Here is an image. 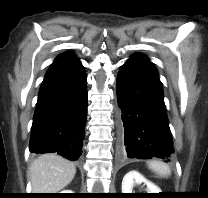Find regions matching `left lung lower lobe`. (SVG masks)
Instances as JSON below:
<instances>
[{"mask_svg": "<svg viewBox=\"0 0 208 198\" xmlns=\"http://www.w3.org/2000/svg\"><path fill=\"white\" fill-rule=\"evenodd\" d=\"M117 100L121 109L120 152L124 158L170 161L173 142L163 89L153 63L136 53L117 76Z\"/></svg>", "mask_w": 208, "mask_h": 198, "instance_id": "1", "label": "left lung lower lobe"}]
</instances>
